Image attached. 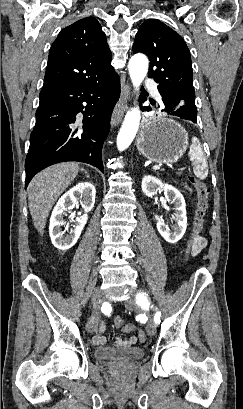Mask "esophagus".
<instances>
[{"instance_id": "1", "label": "esophagus", "mask_w": 243, "mask_h": 409, "mask_svg": "<svg viewBox=\"0 0 243 409\" xmlns=\"http://www.w3.org/2000/svg\"><path fill=\"white\" fill-rule=\"evenodd\" d=\"M130 85L127 83L122 86L120 97L114 107L112 117H111V125L112 127L117 126L124 114L125 107L130 99Z\"/></svg>"}]
</instances>
